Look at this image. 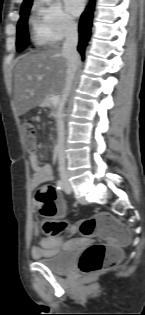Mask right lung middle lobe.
I'll list each match as a JSON object with an SVG mask.
<instances>
[{
  "label": "right lung middle lobe",
  "mask_w": 145,
  "mask_h": 315,
  "mask_svg": "<svg viewBox=\"0 0 145 315\" xmlns=\"http://www.w3.org/2000/svg\"><path fill=\"white\" fill-rule=\"evenodd\" d=\"M31 5H27L21 8L20 12V20L17 25V41H16V47L17 51H23L29 43V35H28V30H27V19H28V14L31 8Z\"/></svg>",
  "instance_id": "right-lung-middle-lobe-1"
}]
</instances>
